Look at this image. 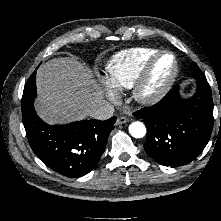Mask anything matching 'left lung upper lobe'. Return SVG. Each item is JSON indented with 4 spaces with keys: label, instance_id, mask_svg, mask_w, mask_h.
Returning a JSON list of instances; mask_svg holds the SVG:
<instances>
[{
    "label": "left lung upper lobe",
    "instance_id": "5c2ea615",
    "mask_svg": "<svg viewBox=\"0 0 221 221\" xmlns=\"http://www.w3.org/2000/svg\"><path fill=\"white\" fill-rule=\"evenodd\" d=\"M195 67L197 68V65ZM202 76H204L203 73L199 69H196L195 78H199V77H202Z\"/></svg>",
    "mask_w": 221,
    "mask_h": 221
}]
</instances>
